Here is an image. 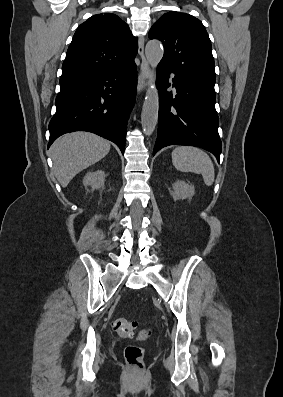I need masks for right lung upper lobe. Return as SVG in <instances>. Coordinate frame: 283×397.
<instances>
[{
  "label": "right lung upper lobe",
  "mask_w": 283,
  "mask_h": 397,
  "mask_svg": "<svg viewBox=\"0 0 283 397\" xmlns=\"http://www.w3.org/2000/svg\"><path fill=\"white\" fill-rule=\"evenodd\" d=\"M137 51L136 37L117 15H94L77 28L60 83L126 66L134 61Z\"/></svg>",
  "instance_id": "cb5924a9"
}]
</instances>
